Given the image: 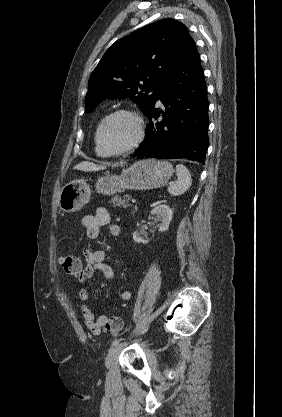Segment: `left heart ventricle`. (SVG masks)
I'll return each mask as SVG.
<instances>
[{
    "label": "left heart ventricle",
    "mask_w": 282,
    "mask_h": 417,
    "mask_svg": "<svg viewBox=\"0 0 282 417\" xmlns=\"http://www.w3.org/2000/svg\"><path fill=\"white\" fill-rule=\"evenodd\" d=\"M135 135V125L132 120L121 117L115 119L108 127L106 143L110 147H119L128 143Z\"/></svg>",
    "instance_id": "left-heart-ventricle-1"
}]
</instances>
